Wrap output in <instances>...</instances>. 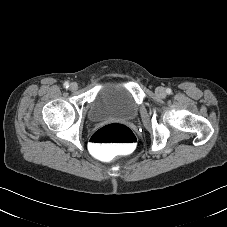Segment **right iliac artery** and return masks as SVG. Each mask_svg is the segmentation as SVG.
Here are the masks:
<instances>
[{"mask_svg":"<svg viewBox=\"0 0 227 227\" xmlns=\"http://www.w3.org/2000/svg\"><path fill=\"white\" fill-rule=\"evenodd\" d=\"M69 86H70V85H69L68 82H65V83H64V87H65V88H69Z\"/></svg>","mask_w":227,"mask_h":227,"instance_id":"82829eb1","label":"right iliac artery"}]
</instances>
